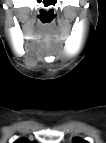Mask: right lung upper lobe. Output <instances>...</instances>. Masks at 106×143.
Here are the masks:
<instances>
[{"instance_id": "cb5924a9", "label": "right lung upper lobe", "mask_w": 106, "mask_h": 143, "mask_svg": "<svg viewBox=\"0 0 106 143\" xmlns=\"http://www.w3.org/2000/svg\"><path fill=\"white\" fill-rule=\"evenodd\" d=\"M14 143H30V141L26 138H21V139L15 141Z\"/></svg>"}]
</instances>
